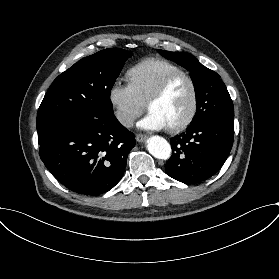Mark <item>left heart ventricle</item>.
Here are the masks:
<instances>
[{
  "instance_id": "left-heart-ventricle-1",
  "label": "left heart ventricle",
  "mask_w": 279,
  "mask_h": 279,
  "mask_svg": "<svg viewBox=\"0 0 279 279\" xmlns=\"http://www.w3.org/2000/svg\"><path fill=\"white\" fill-rule=\"evenodd\" d=\"M192 97L193 91L190 83L187 79L181 78L162 98L151 105L150 111L160 116L168 127L177 125L188 115Z\"/></svg>"
}]
</instances>
